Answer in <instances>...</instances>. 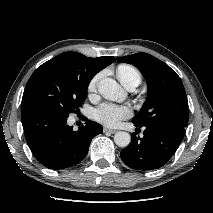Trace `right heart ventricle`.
Returning <instances> with one entry per match:
<instances>
[{
  "mask_svg": "<svg viewBox=\"0 0 213 213\" xmlns=\"http://www.w3.org/2000/svg\"><path fill=\"white\" fill-rule=\"evenodd\" d=\"M117 76L124 86L132 80H135L139 83L141 79L138 70L133 66L127 64H122L118 66Z\"/></svg>",
  "mask_w": 213,
  "mask_h": 213,
  "instance_id": "right-heart-ventricle-1",
  "label": "right heart ventricle"
}]
</instances>
